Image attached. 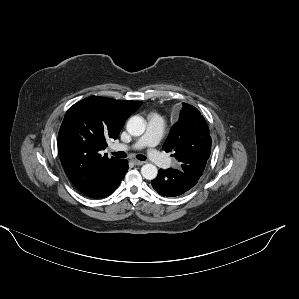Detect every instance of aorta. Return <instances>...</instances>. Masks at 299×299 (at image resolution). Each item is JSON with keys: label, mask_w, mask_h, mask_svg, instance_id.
<instances>
[{"label": "aorta", "mask_w": 299, "mask_h": 299, "mask_svg": "<svg viewBox=\"0 0 299 299\" xmlns=\"http://www.w3.org/2000/svg\"><path fill=\"white\" fill-rule=\"evenodd\" d=\"M126 129L132 136H141L146 129L145 120L140 116H133L128 120ZM141 174L145 179L153 180L156 178L158 170L153 164H145L141 168Z\"/></svg>", "instance_id": "aorta-1"}]
</instances>
